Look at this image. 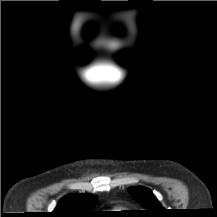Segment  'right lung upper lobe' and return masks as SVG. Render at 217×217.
Wrapping results in <instances>:
<instances>
[{
    "label": "right lung upper lobe",
    "instance_id": "1",
    "mask_svg": "<svg viewBox=\"0 0 217 217\" xmlns=\"http://www.w3.org/2000/svg\"><path fill=\"white\" fill-rule=\"evenodd\" d=\"M96 204V197L92 194H70L63 197L50 217H93L91 211Z\"/></svg>",
    "mask_w": 217,
    "mask_h": 217
}]
</instances>
